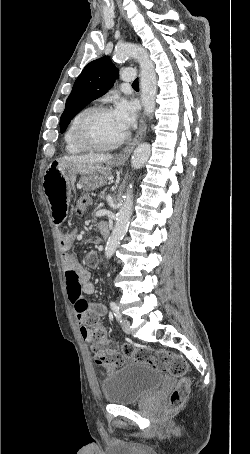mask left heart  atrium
Instances as JSON below:
<instances>
[{
    "mask_svg": "<svg viewBox=\"0 0 250 454\" xmlns=\"http://www.w3.org/2000/svg\"><path fill=\"white\" fill-rule=\"evenodd\" d=\"M123 130H128L135 121L136 106L125 99H119L112 110Z\"/></svg>",
    "mask_w": 250,
    "mask_h": 454,
    "instance_id": "39dd6f15",
    "label": "left heart atrium"
}]
</instances>
